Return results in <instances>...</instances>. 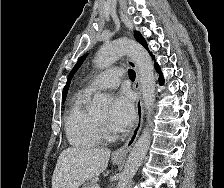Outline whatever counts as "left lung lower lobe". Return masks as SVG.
<instances>
[{
	"label": "left lung lower lobe",
	"instance_id": "obj_1",
	"mask_svg": "<svg viewBox=\"0 0 224 188\" xmlns=\"http://www.w3.org/2000/svg\"><path fill=\"white\" fill-rule=\"evenodd\" d=\"M155 68H156L157 72L160 74V77H159V82H160V84H163L164 80H163V77H162V74H161L160 68H159V66H158V64H157V63H155Z\"/></svg>",
	"mask_w": 224,
	"mask_h": 188
}]
</instances>
